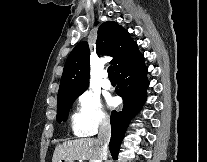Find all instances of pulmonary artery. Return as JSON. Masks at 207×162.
I'll return each mask as SVG.
<instances>
[{"label": "pulmonary artery", "mask_w": 207, "mask_h": 162, "mask_svg": "<svg viewBox=\"0 0 207 162\" xmlns=\"http://www.w3.org/2000/svg\"><path fill=\"white\" fill-rule=\"evenodd\" d=\"M102 77H103L102 82H101L102 87L106 90L111 89L112 85H111L110 80L107 78V72L106 71H104L102 73Z\"/></svg>", "instance_id": "1"}]
</instances>
